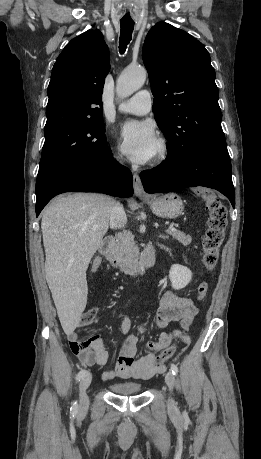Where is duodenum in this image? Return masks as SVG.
Segmentation results:
<instances>
[{"label": "duodenum", "instance_id": "1", "mask_svg": "<svg viewBox=\"0 0 261 459\" xmlns=\"http://www.w3.org/2000/svg\"><path fill=\"white\" fill-rule=\"evenodd\" d=\"M113 248H114V238L106 237L103 240L99 248V253L113 267H116V268L121 267L124 273L131 275V276H136V275L144 273L146 270H148L154 265L155 260H156V248L154 247V245L149 244L143 251L142 257L137 263L122 267L118 259L114 255Z\"/></svg>", "mask_w": 261, "mask_h": 459}]
</instances>
